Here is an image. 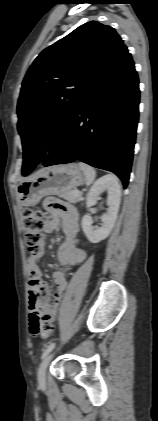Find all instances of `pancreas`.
I'll list each match as a JSON object with an SVG mask.
<instances>
[{
    "label": "pancreas",
    "mask_w": 158,
    "mask_h": 421,
    "mask_svg": "<svg viewBox=\"0 0 158 421\" xmlns=\"http://www.w3.org/2000/svg\"><path fill=\"white\" fill-rule=\"evenodd\" d=\"M74 191L75 190L66 191V192L62 193L61 196L71 203L79 202L80 200H82V198H81V196H78V197L75 196Z\"/></svg>",
    "instance_id": "cf45deb5"
}]
</instances>
